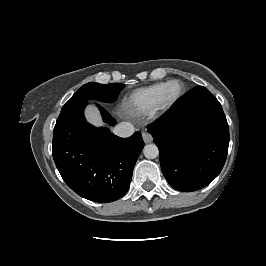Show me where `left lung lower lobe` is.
I'll use <instances>...</instances> for the list:
<instances>
[{
    "label": "left lung lower lobe",
    "mask_w": 266,
    "mask_h": 266,
    "mask_svg": "<svg viewBox=\"0 0 266 266\" xmlns=\"http://www.w3.org/2000/svg\"><path fill=\"white\" fill-rule=\"evenodd\" d=\"M149 132L159 148L162 172L174 189L199 190L221 172L229 127L221 104L206 88H195L178 99Z\"/></svg>",
    "instance_id": "obj_1"
}]
</instances>
